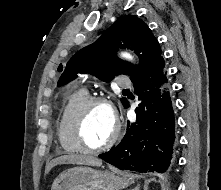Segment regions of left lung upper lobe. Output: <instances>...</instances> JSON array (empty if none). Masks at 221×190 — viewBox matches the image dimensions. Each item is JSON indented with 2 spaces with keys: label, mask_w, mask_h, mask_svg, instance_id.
Returning <instances> with one entry per match:
<instances>
[{
  "label": "left lung upper lobe",
  "mask_w": 221,
  "mask_h": 190,
  "mask_svg": "<svg viewBox=\"0 0 221 190\" xmlns=\"http://www.w3.org/2000/svg\"><path fill=\"white\" fill-rule=\"evenodd\" d=\"M118 48L134 50L140 58L139 67L118 59ZM160 58L159 43L147 24L136 16L126 15L113 23L95 43L78 51L68 61L58 85L68 83L78 73H90L105 82L125 74L133 82L149 71ZM121 102L124 106L128 103L125 98Z\"/></svg>",
  "instance_id": "obj_1"
}]
</instances>
